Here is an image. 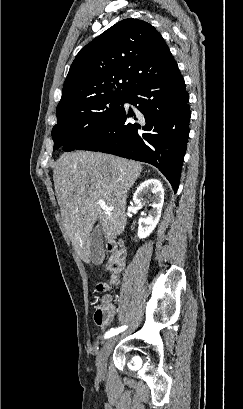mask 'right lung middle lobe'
<instances>
[{
  "mask_svg": "<svg viewBox=\"0 0 243 409\" xmlns=\"http://www.w3.org/2000/svg\"><path fill=\"white\" fill-rule=\"evenodd\" d=\"M125 96L104 95L57 110L52 129L54 149L73 151L86 138L106 128L124 103Z\"/></svg>",
  "mask_w": 243,
  "mask_h": 409,
  "instance_id": "right-lung-middle-lobe-1",
  "label": "right lung middle lobe"
}]
</instances>
